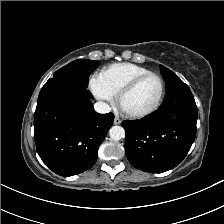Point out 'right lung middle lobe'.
Segmentation results:
<instances>
[{"label":"right lung middle lobe","mask_w":224,"mask_h":224,"mask_svg":"<svg viewBox=\"0 0 224 224\" xmlns=\"http://www.w3.org/2000/svg\"><path fill=\"white\" fill-rule=\"evenodd\" d=\"M98 66L97 61L78 59L55 72L49 80L67 81L79 87L87 88L88 78Z\"/></svg>","instance_id":"dd1d6c3e"}]
</instances>
